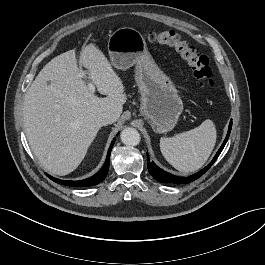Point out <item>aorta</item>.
Returning a JSON list of instances; mask_svg holds the SVG:
<instances>
[{
	"label": "aorta",
	"instance_id": "aorta-1",
	"mask_svg": "<svg viewBox=\"0 0 265 265\" xmlns=\"http://www.w3.org/2000/svg\"><path fill=\"white\" fill-rule=\"evenodd\" d=\"M120 137L121 141L128 146H136L140 142V134L135 128H125Z\"/></svg>",
	"mask_w": 265,
	"mask_h": 265
}]
</instances>
